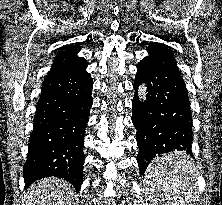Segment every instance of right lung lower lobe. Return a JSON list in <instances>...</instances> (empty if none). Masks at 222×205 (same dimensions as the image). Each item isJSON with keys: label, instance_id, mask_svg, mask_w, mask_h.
Segmentation results:
<instances>
[{"label": "right lung lower lobe", "instance_id": "obj_1", "mask_svg": "<svg viewBox=\"0 0 222 205\" xmlns=\"http://www.w3.org/2000/svg\"><path fill=\"white\" fill-rule=\"evenodd\" d=\"M92 88L86 68L46 77L23 169L26 187L38 179L57 176L80 190L84 130L93 102Z\"/></svg>", "mask_w": 222, "mask_h": 205}]
</instances>
